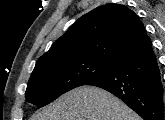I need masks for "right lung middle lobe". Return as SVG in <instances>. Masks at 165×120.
I'll use <instances>...</instances> for the list:
<instances>
[{
    "label": "right lung middle lobe",
    "instance_id": "1",
    "mask_svg": "<svg viewBox=\"0 0 165 120\" xmlns=\"http://www.w3.org/2000/svg\"><path fill=\"white\" fill-rule=\"evenodd\" d=\"M118 64L89 58H71L36 65L29 79L25 97L38 107L60 95L106 75Z\"/></svg>",
    "mask_w": 165,
    "mask_h": 120
}]
</instances>
